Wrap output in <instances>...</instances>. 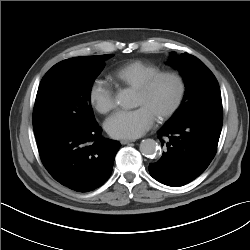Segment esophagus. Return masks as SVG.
<instances>
[{
  "label": "esophagus",
  "instance_id": "1",
  "mask_svg": "<svg viewBox=\"0 0 250 250\" xmlns=\"http://www.w3.org/2000/svg\"><path fill=\"white\" fill-rule=\"evenodd\" d=\"M135 140H130V139H122L121 141H120V143L122 144V145H125V144H129V143H132V142H134Z\"/></svg>",
  "mask_w": 250,
  "mask_h": 250
}]
</instances>
